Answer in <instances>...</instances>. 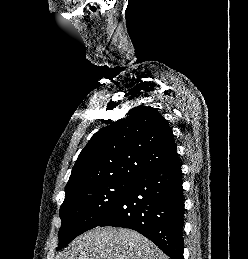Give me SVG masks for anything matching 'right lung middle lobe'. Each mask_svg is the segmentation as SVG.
I'll list each match as a JSON object with an SVG mask.
<instances>
[{"mask_svg": "<svg viewBox=\"0 0 248 259\" xmlns=\"http://www.w3.org/2000/svg\"><path fill=\"white\" fill-rule=\"evenodd\" d=\"M131 181H106L71 189L60 207L62 225L57 251L78 235L96 227L129 189Z\"/></svg>", "mask_w": 248, "mask_h": 259, "instance_id": "right-lung-middle-lobe-1", "label": "right lung middle lobe"}]
</instances>
